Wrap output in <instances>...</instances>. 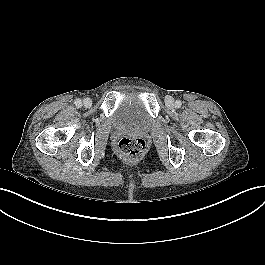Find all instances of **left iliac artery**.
I'll return each instance as SVG.
<instances>
[{
	"instance_id": "obj_1",
	"label": "left iliac artery",
	"mask_w": 265,
	"mask_h": 265,
	"mask_svg": "<svg viewBox=\"0 0 265 265\" xmlns=\"http://www.w3.org/2000/svg\"><path fill=\"white\" fill-rule=\"evenodd\" d=\"M181 105H182V103H181L180 100H177V101L175 102V107H176V108H180Z\"/></svg>"
}]
</instances>
